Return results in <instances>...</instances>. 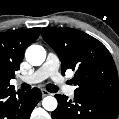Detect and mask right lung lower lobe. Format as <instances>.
Masks as SVG:
<instances>
[{"instance_id": "right-lung-lower-lobe-1", "label": "right lung lower lobe", "mask_w": 119, "mask_h": 119, "mask_svg": "<svg viewBox=\"0 0 119 119\" xmlns=\"http://www.w3.org/2000/svg\"><path fill=\"white\" fill-rule=\"evenodd\" d=\"M41 100L38 88L30 92L6 91L0 94V119H29L31 112Z\"/></svg>"}]
</instances>
